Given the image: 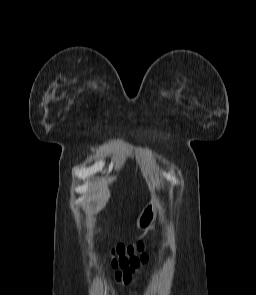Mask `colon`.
I'll list each match as a JSON object with an SVG mask.
<instances>
[{
  "label": "colon",
  "instance_id": "obj_1",
  "mask_svg": "<svg viewBox=\"0 0 256 295\" xmlns=\"http://www.w3.org/2000/svg\"><path fill=\"white\" fill-rule=\"evenodd\" d=\"M99 233V231H97ZM111 266L118 267H131L136 268L145 264L150 254L146 251L144 242H137L131 245H117L110 250Z\"/></svg>",
  "mask_w": 256,
  "mask_h": 295
}]
</instances>
